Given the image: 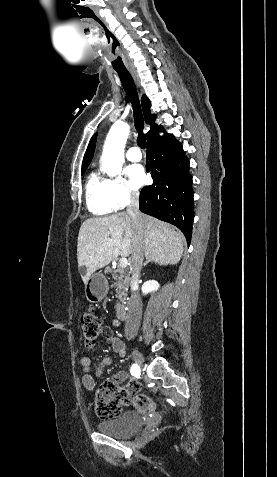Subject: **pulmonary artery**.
<instances>
[{
  "label": "pulmonary artery",
  "instance_id": "obj_1",
  "mask_svg": "<svg viewBox=\"0 0 277 477\" xmlns=\"http://www.w3.org/2000/svg\"><path fill=\"white\" fill-rule=\"evenodd\" d=\"M126 157L130 161L137 162V161H140L142 159V154H141L138 147H131L127 150Z\"/></svg>",
  "mask_w": 277,
  "mask_h": 477
}]
</instances>
